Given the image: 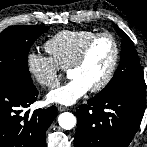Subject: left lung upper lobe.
Instances as JSON below:
<instances>
[{
    "label": "left lung upper lobe",
    "instance_id": "left-lung-upper-lobe-1",
    "mask_svg": "<svg viewBox=\"0 0 147 147\" xmlns=\"http://www.w3.org/2000/svg\"><path fill=\"white\" fill-rule=\"evenodd\" d=\"M114 28L123 38L121 45V62L113 78L97 95L110 96L119 92L146 94L144 74L134 43L119 27L114 25Z\"/></svg>",
    "mask_w": 147,
    "mask_h": 147
}]
</instances>
